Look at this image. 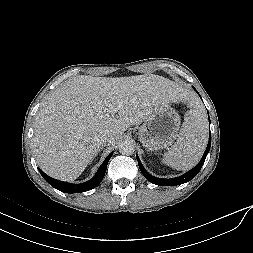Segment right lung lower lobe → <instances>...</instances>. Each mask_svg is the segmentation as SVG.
I'll return each instance as SVG.
<instances>
[{
    "mask_svg": "<svg viewBox=\"0 0 253 253\" xmlns=\"http://www.w3.org/2000/svg\"><path fill=\"white\" fill-rule=\"evenodd\" d=\"M112 152L106 157L100 168L98 169L96 175L89 180L88 182L81 183V184H71L63 181H59L56 179H53L49 177L47 174H45L40 168H38L39 172L41 173L42 177L54 188L58 189L61 192L65 193H80L85 192L93 189L96 187L103 179L105 173L108 161L110 160L112 156Z\"/></svg>",
    "mask_w": 253,
    "mask_h": 253,
    "instance_id": "right-lung-lower-lobe-1",
    "label": "right lung lower lobe"
}]
</instances>
